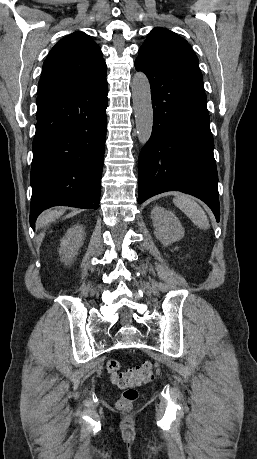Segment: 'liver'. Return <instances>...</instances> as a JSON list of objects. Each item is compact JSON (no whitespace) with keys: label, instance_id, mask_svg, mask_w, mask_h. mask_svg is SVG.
<instances>
[{"label":"liver","instance_id":"obj_1","mask_svg":"<svg viewBox=\"0 0 257 459\" xmlns=\"http://www.w3.org/2000/svg\"><path fill=\"white\" fill-rule=\"evenodd\" d=\"M56 214V211L47 212L38 219V224L40 226H46L49 222L54 221Z\"/></svg>","mask_w":257,"mask_h":459}]
</instances>
